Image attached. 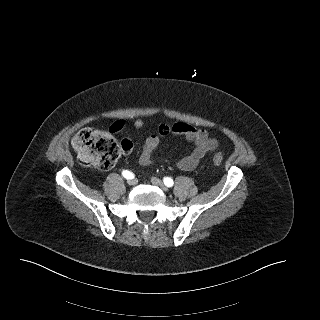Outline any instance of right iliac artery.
Instances as JSON below:
<instances>
[{"label":"right iliac artery","mask_w":320,"mask_h":320,"mask_svg":"<svg viewBox=\"0 0 320 320\" xmlns=\"http://www.w3.org/2000/svg\"><path fill=\"white\" fill-rule=\"evenodd\" d=\"M122 175H123L126 179H133V178L135 177V175H134L132 172L128 171V170H124V171L122 172Z\"/></svg>","instance_id":"1"}]
</instances>
